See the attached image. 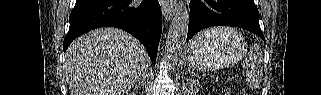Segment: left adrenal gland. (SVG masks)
I'll return each mask as SVG.
<instances>
[{
	"instance_id": "a2214340",
	"label": "left adrenal gland",
	"mask_w": 321,
	"mask_h": 95,
	"mask_svg": "<svg viewBox=\"0 0 321 95\" xmlns=\"http://www.w3.org/2000/svg\"><path fill=\"white\" fill-rule=\"evenodd\" d=\"M183 87H184V89L186 90L187 88H186V84L183 82ZM184 92H186V91H184Z\"/></svg>"
}]
</instances>
